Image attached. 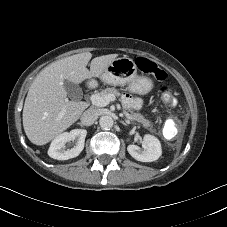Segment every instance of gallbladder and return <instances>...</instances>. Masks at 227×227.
Segmentation results:
<instances>
[{
	"label": "gallbladder",
	"instance_id": "bac80fb5",
	"mask_svg": "<svg viewBox=\"0 0 227 227\" xmlns=\"http://www.w3.org/2000/svg\"><path fill=\"white\" fill-rule=\"evenodd\" d=\"M64 87L67 91V94L72 99H77L81 95V88L68 80L64 81Z\"/></svg>",
	"mask_w": 227,
	"mask_h": 227
}]
</instances>
